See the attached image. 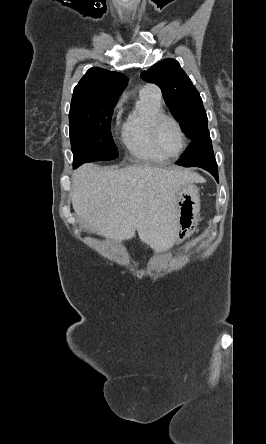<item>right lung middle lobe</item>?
<instances>
[{"instance_id": "1", "label": "right lung middle lobe", "mask_w": 266, "mask_h": 444, "mask_svg": "<svg viewBox=\"0 0 266 444\" xmlns=\"http://www.w3.org/2000/svg\"><path fill=\"white\" fill-rule=\"evenodd\" d=\"M117 98L99 99L70 107V141L75 166L85 162L112 160L118 151L111 135V116Z\"/></svg>"}]
</instances>
